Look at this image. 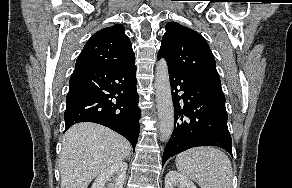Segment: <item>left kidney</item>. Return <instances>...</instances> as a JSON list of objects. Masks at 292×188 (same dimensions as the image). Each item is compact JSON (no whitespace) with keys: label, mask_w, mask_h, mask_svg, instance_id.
<instances>
[{"label":"left kidney","mask_w":292,"mask_h":188,"mask_svg":"<svg viewBox=\"0 0 292 188\" xmlns=\"http://www.w3.org/2000/svg\"><path fill=\"white\" fill-rule=\"evenodd\" d=\"M165 188H197L187 177L171 170L165 177Z\"/></svg>","instance_id":"left-kidney-1"}]
</instances>
